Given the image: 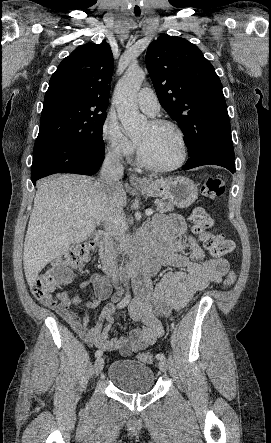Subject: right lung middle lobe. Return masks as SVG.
Instances as JSON below:
<instances>
[{
	"instance_id": "dd1d6c3e",
	"label": "right lung middle lobe",
	"mask_w": 271,
	"mask_h": 443,
	"mask_svg": "<svg viewBox=\"0 0 271 443\" xmlns=\"http://www.w3.org/2000/svg\"><path fill=\"white\" fill-rule=\"evenodd\" d=\"M106 109L71 100L44 103L33 155L51 144L104 148L102 128Z\"/></svg>"
}]
</instances>
